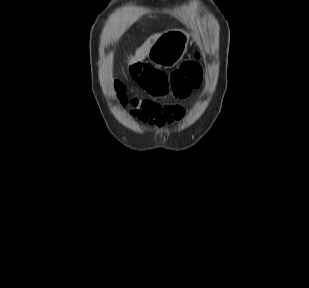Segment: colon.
Instances as JSON below:
<instances>
[{"label":"colon","mask_w":309,"mask_h":288,"mask_svg":"<svg viewBox=\"0 0 309 288\" xmlns=\"http://www.w3.org/2000/svg\"><path fill=\"white\" fill-rule=\"evenodd\" d=\"M198 57L199 54L196 53ZM133 79L153 96H171L176 99L185 98L192 90L199 89L203 84L202 69L194 61L183 63L178 69L167 75L152 66L142 67L134 64L130 68ZM115 90L123 94L124 86L115 81ZM146 101V100H143Z\"/></svg>","instance_id":"obj_1"}]
</instances>
